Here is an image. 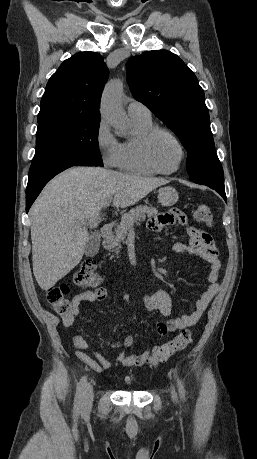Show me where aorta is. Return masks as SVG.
Returning <instances> with one entry per match:
<instances>
[{
  "mask_svg": "<svg viewBox=\"0 0 257 459\" xmlns=\"http://www.w3.org/2000/svg\"><path fill=\"white\" fill-rule=\"evenodd\" d=\"M123 84L119 80L109 82L103 92L100 112L103 120L111 125L118 135L129 133V119L121 107Z\"/></svg>",
  "mask_w": 257,
  "mask_h": 459,
  "instance_id": "aorta-1",
  "label": "aorta"
}]
</instances>
